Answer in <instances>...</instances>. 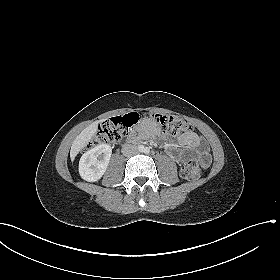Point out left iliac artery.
Segmentation results:
<instances>
[{
	"instance_id": "left-iliac-artery-1",
	"label": "left iliac artery",
	"mask_w": 280,
	"mask_h": 280,
	"mask_svg": "<svg viewBox=\"0 0 280 280\" xmlns=\"http://www.w3.org/2000/svg\"><path fill=\"white\" fill-rule=\"evenodd\" d=\"M144 152H145V153H149L150 150H149L148 148H145V149H144Z\"/></svg>"
}]
</instances>
